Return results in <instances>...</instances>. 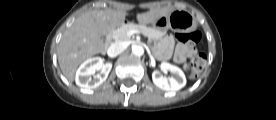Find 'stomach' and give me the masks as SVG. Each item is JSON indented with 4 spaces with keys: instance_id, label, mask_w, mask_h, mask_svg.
I'll use <instances>...</instances> for the list:
<instances>
[{
    "instance_id": "obj_1",
    "label": "stomach",
    "mask_w": 276,
    "mask_h": 120,
    "mask_svg": "<svg viewBox=\"0 0 276 120\" xmlns=\"http://www.w3.org/2000/svg\"><path fill=\"white\" fill-rule=\"evenodd\" d=\"M153 29L162 33L168 29L174 32H191L196 29L197 21L195 16L181 9H173L168 15L161 16L151 23Z\"/></svg>"
}]
</instances>
